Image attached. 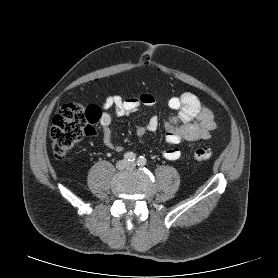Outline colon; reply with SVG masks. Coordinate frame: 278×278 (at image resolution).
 <instances>
[{
	"mask_svg": "<svg viewBox=\"0 0 278 278\" xmlns=\"http://www.w3.org/2000/svg\"><path fill=\"white\" fill-rule=\"evenodd\" d=\"M101 114V109L94 105H63L50 128L51 148L55 157L63 159L84 136L94 135V124L99 121ZM192 157L198 162L207 161L212 157V150L209 147L197 148Z\"/></svg>",
	"mask_w": 278,
	"mask_h": 278,
	"instance_id": "obj_1",
	"label": "colon"
}]
</instances>
